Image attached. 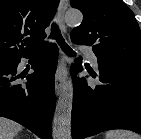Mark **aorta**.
<instances>
[{
    "mask_svg": "<svg viewBox=\"0 0 141 139\" xmlns=\"http://www.w3.org/2000/svg\"><path fill=\"white\" fill-rule=\"evenodd\" d=\"M83 15L78 10H69L65 15L66 23L79 25ZM73 105V84L70 80L63 85L53 118V139H71V113Z\"/></svg>",
    "mask_w": 141,
    "mask_h": 139,
    "instance_id": "1",
    "label": "aorta"
}]
</instances>
